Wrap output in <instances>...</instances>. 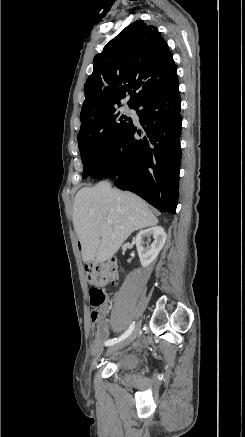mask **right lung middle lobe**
<instances>
[{
	"instance_id": "1",
	"label": "right lung middle lobe",
	"mask_w": 245,
	"mask_h": 437,
	"mask_svg": "<svg viewBox=\"0 0 245 437\" xmlns=\"http://www.w3.org/2000/svg\"><path fill=\"white\" fill-rule=\"evenodd\" d=\"M131 122L113 106L81 125L77 139L84 168L82 178L91 175L110 156Z\"/></svg>"
}]
</instances>
